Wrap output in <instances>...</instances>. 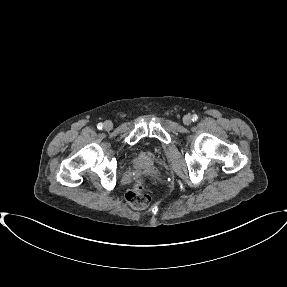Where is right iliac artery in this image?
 <instances>
[{
  "label": "right iliac artery",
  "instance_id": "1",
  "mask_svg": "<svg viewBox=\"0 0 287 287\" xmlns=\"http://www.w3.org/2000/svg\"><path fill=\"white\" fill-rule=\"evenodd\" d=\"M97 128L101 130L103 128V124L102 123H98Z\"/></svg>",
  "mask_w": 287,
  "mask_h": 287
}]
</instances>
